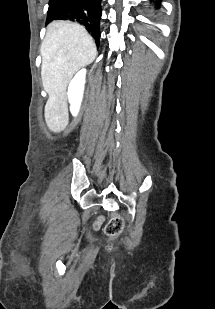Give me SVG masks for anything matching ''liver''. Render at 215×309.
Segmentation results:
<instances>
[{
    "label": "liver",
    "instance_id": "obj_1",
    "mask_svg": "<svg viewBox=\"0 0 215 309\" xmlns=\"http://www.w3.org/2000/svg\"><path fill=\"white\" fill-rule=\"evenodd\" d=\"M96 54V44L81 24L70 20H53L48 24L41 44V76L49 94L45 120L52 130L67 126L66 88L73 74L93 62Z\"/></svg>",
    "mask_w": 215,
    "mask_h": 309
}]
</instances>
